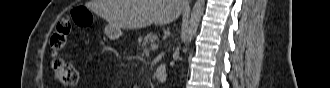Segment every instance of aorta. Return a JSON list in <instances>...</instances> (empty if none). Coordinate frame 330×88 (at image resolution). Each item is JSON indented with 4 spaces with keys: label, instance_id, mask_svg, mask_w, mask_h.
Returning <instances> with one entry per match:
<instances>
[{
    "label": "aorta",
    "instance_id": "1",
    "mask_svg": "<svg viewBox=\"0 0 330 88\" xmlns=\"http://www.w3.org/2000/svg\"><path fill=\"white\" fill-rule=\"evenodd\" d=\"M204 7H205V0H196L191 12L189 27L184 36V42L186 43V46L193 40V37L197 32L199 23L201 21V17L204 12ZM186 51L187 48L185 49V52Z\"/></svg>",
    "mask_w": 330,
    "mask_h": 88
}]
</instances>
